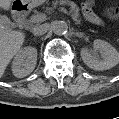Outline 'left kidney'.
<instances>
[{"mask_svg":"<svg viewBox=\"0 0 119 119\" xmlns=\"http://www.w3.org/2000/svg\"><path fill=\"white\" fill-rule=\"evenodd\" d=\"M93 47L98 50L103 60H98L92 56L88 48L84 47L81 49V58L83 62L93 70H107L119 63V53L117 50L108 42L96 39L93 42Z\"/></svg>","mask_w":119,"mask_h":119,"instance_id":"left-kidney-1","label":"left kidney"}]
</instances>
